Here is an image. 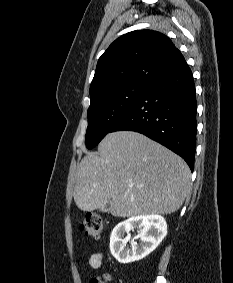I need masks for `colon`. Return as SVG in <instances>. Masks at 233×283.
I'll use <instances>...</instances> for the list:
<instances>
[{
    "mask_svg": "<svg viewBox=\"0 0 233 283\" xmlns=\"http://www.w3.org/2000/svg\"><path fill=\"white\" fill-rule=\"evenodd\" d=\"M102 219L100 216L95 214H90L86 216L85 220L80 226V230L86 237L97 239L102 232ZM109 280L108 276L103 279L93 278L90 283H106Z\"/></svg>",
    "mask_w": 233,
    "mask_h": 283,
    "instance_id": "5ec220e1",
    "label": "colon"
}]
</instances>
